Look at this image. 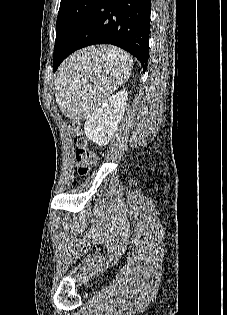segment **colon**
I'll list each match as a JSON object with an SVG mask.
<instances>
[{
	"instance_id": "5ec220e1",
	"label": "colon",
	"mask_w": 227,
	"mask_h": 315,
	"mask_svg": "<svg viewBox=\"0 0 227 315\" xmlns=\"http://www.w3.org/2000/svg\"><path fill=\"white\" fill-rule=\"evenodd\" d=\"M69 131L73 136L74 144L77 147L75 157L78 174L80 176H86L94 166L96 156L89 148L88 140L81 129L79 121H71L69 124Z\"/></svg>"
}]
</instances>
